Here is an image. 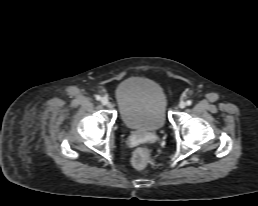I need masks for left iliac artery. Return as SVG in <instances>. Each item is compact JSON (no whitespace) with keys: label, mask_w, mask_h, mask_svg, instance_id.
<instances>
[{"label":"left iliac artery","mask_w":258,"mask_h":206,"mask_svg":"<svg viewBox=\"0 0 258 206\" xmlns=\"http://www.w3.org/2000/svg\"><path fill=\"white\" fill-rule=\"evenodd\" d=\"M186 103H187L188 106H190L192 104V101L188 100Z\"/></svg>","instance_id":"44dca946"}]
</instances>
